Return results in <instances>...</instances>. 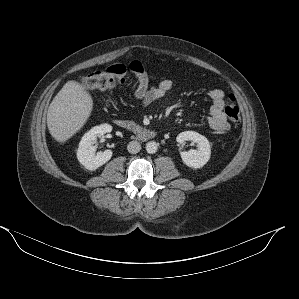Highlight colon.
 I'll use <instances>...</instances> for the list:
<instances>
[{
	"mask_svg": "<svg viewBox=\"0 0 299 299\" xmlns=\"http://www.w3.org/2000/svg\"><path fill=\"white\" fill-rule=\"evenodd\" d=\"M127 68L124 65H114L107 69L95 71L84 75L80 79V84L87 91H105L116 84L123 82L127 77ZM227 117L232 121H238L240 117V109L236 104L235 96L230 93L227 97V105L225 108Z\"/></svg>",
	"mask_w": 299,
	"mask_h": 299,
	"instance_id": "1",
	"label": "colon"
}]
</instances>
